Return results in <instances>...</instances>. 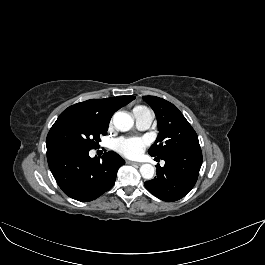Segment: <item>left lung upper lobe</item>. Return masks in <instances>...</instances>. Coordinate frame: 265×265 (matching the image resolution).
<instances>
[{
    "mask_svg": "<svg viewBox=\"0 0 265 265\" xmlns=\"http://www.w3.org/2000/svg\"><path fill=\"white\" fill-rule=\"evenodd\" d=\"M157 117L159 134L148 150L161 158L169 152L200 147L196 132L180 110L167 100L156 96H143Z\"/></svg>",
    "mask_w": 265,
    "mask_h": 265,
    "instance_id": "left-lung-upper-lobe-1",
    "label": "left lung upper lobe"
}]
</instances>
